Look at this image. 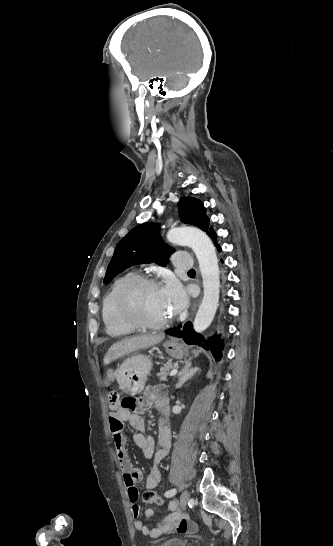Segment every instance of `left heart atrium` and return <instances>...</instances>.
<instances>
[{"label":"left heart atrium","instance_id":"left-heart-atrium-1","mask_svg":"<svg viewBox=\"0 0 333 546\" xmlns=\"http://www.w3.org/2000/svg\"><path fill=\"white\" fill-rule=\"evenodd\" d=\"M162 294L169 306L171 314L181 312L187 304V296L180 283L173 277L168 276L165 284L161 287Z\"/></svg>","mask_w":333,"mask_h":546}]
</instances>
